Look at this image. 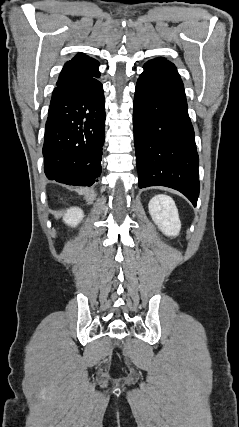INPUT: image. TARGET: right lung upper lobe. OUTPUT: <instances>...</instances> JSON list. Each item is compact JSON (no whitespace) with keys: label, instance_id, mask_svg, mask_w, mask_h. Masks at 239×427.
Here are the masks:
<instances>
[{"label":"right lung upper lobe","instance_id":"cb5924a9","mask_svg":"<svg viewBox=\"0 0 239 427\" xmlns=\"http://www.w3.org/2000/svg\"><path fill=\"white\" fill-rule=\"evenodd\" d=\"M98 66L99 63L97 60L83 53H78L72 60L64 65L57 83L97 72Z\"/></svg>","mask_w":239,"mask_h":427}]
</instances>
